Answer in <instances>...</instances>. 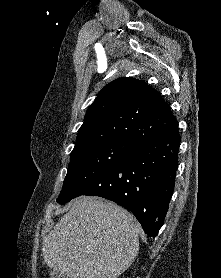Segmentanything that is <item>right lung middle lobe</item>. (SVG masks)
<instances>
[{
	"mask_svg": "<svg viewBox=\"0 0 221 278\" xmlns=\"http://www.w3.org/2000/svg\"><path fill=\"white\" fill-rule=\"evenodd\" d=\"M132 144L123 140H92L75 147L57 202L64 204L75 198L84 186L119 162Z\"/></svg>",
	"mask_w": 221,
	"mask_h": 278,
	"instance_id": "1",
	"label": "right lung middle lobe"
}]
</instances>
